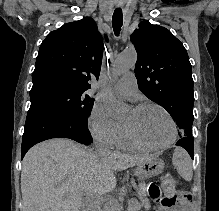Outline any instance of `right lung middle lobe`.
Here are the masks:
<instances>
[{"label":"right lung middle lobe","instance_id":"dd1d6c3e","mask_svg":"<svg viewBox=\"0 0 219 211\" xmlns=\"http://www.w3.org/2000/svg\"><path fill=\"white\" fill-rule=\"evenodd\" d=\"M30 100L31 104L45 102L55 105L83 123H88L94 101L83 90L61 84L46 85L30 92Z\"/></svg>","mask_w":219,"mask_h":211}]
</instances>
